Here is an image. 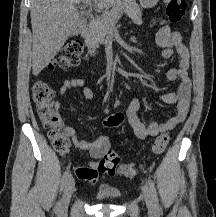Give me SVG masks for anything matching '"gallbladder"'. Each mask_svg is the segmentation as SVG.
Instances as JSON below:
<instances>
[{
  "label": "gallbladder",
  "instance_id": "bac80fb5",
  "mask_svg": "<svg viewBox=\"0 0 216 217\" xmlns=\"http://www.w3.org/2000/svg\"><path fill=\"white\" fill-rule=\"evenodd\" d=\"M80 26L81 24H79L72 32V35H78L80 33Z\"/></svg>",
  "mask_w": 216,
  "mask_h": 217
}]
</instances>
